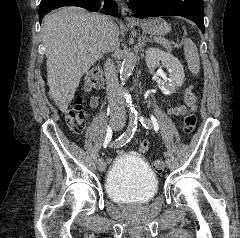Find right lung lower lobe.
<instances>
[{"label":"right lung lower lobe","instance_id":"right-lung-lower-lobe-1","mask_svg":"<svg viewBox=\"0 0 240 238\" xmlns=\"http://www.w3.org/2000/svg\"><path fill=\"white\" fill-rule=\"evenodd\" d=\"M105 5L102 10L103 13L112 15L114 17L118 16V6L114 0H105ZM79 6L86 8L91 11H98L100 9V4L98 3V0H54L50 4L47 5L46 8L39 11V21L41 23V20L43 17L49 13L51 10L63 7V6Z\"/></svg>","mask_w":240,"mask_h":238}]
</instances>
